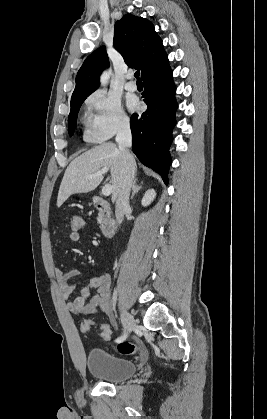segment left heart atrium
<instances>
[{"instance_id":"left-heart-atrium-1","label":"left heart atrium","mask_w":267,"mask_h":419,"mask_svg":"<svg viewBox=\"0 0 267 419\" xmlns=\"http://www.w3.org/2000/svg\"><path fill=\"white\" fill-rule=\"evenodd\" d=\"M128 106L130 109H136L138 106L137 100L136 99H130L128 101Z\"/></svg>"}]
</instances>
